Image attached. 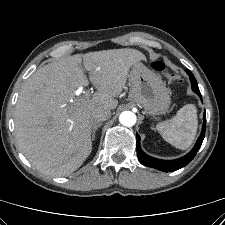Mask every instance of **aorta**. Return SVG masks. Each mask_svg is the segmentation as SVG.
<instances>
[{"instance_id":"obj_1","label":"aorta","mask_w":225,"mask_h":225,"mask_svg":"<svg viewBox=\"0 0 225 225\" xmlns=\"http://www.w3.org/2000/svg\"><path fill=\"white\" fill-rule=\"evenodd\" d=\"M136 120V115L131 111H124L119 116V122L126 127L135 125Z\"/></svg>"}]
</instances>
